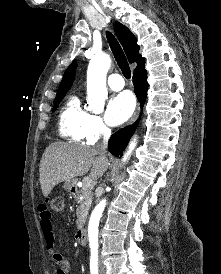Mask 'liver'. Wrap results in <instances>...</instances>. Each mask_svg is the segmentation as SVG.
Listing matches in <instances>:
<instances>
[{
  "instance_id": "6515ba94",
  "label": "liver",
  "mask_w": 221,
  "mask_h": 274,
  "mask_svg": "<svg viewBox=\"0 0 221 274\" xmlns=\"http://www.w3.org/2000/svg\"><path fill=\"white\" fill-rule=\"evenodd\" d=\"M109 165V160L96 147L56 142L50 144L40 161L41 190L47 197L61 182H69L89 170L91 179L100 178Z\"/></svg>"
}]
</instances>
